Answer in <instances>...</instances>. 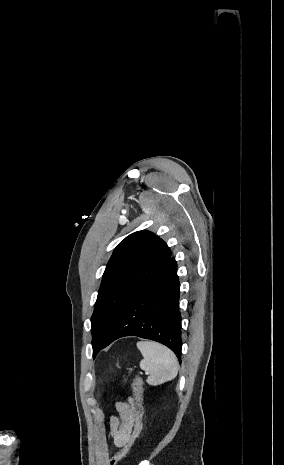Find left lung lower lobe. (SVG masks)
Segmentation results:
<instances>
[{"instance_id": "left-lung-lower-lobe-1", "label": "left lung lower lobe", "mask_w": 284, "mask_h": 465, "mask_svg": "<svg viewBox=\"0 0 284 465\" xmlns=\"http://www.w3.org/2000/svg\"><path fill=\"white\" fill-rule=\"evenodd\" d=\"M177 264L170 257L159 272L126 304L104 339L138 336L166 345L181 363V315Z\"/></svg>"}]
</instances>
